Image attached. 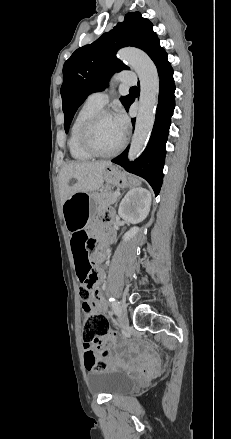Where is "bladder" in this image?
<instances>
[{
	"label": "bladder",
	"mask_w": 231,
	"mask_h": 439,
	"mask_svg": "<svg viewBox=\"0 0 231 439\" xmlns=\"http://www.w3.org/2000/svg\"><path fill=\"white\" fill-rule=\"evenodd\" d=\"M88 388L95 394L111 396L133 391L138 381L132 376L115 369H102L87 374Z\"/></svg>",
	"instance_id": "bladder-1"
}]
</instances>
